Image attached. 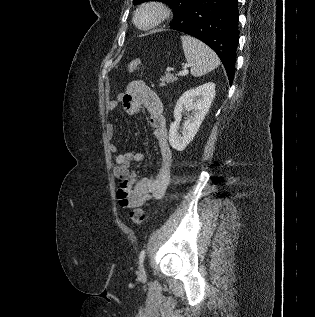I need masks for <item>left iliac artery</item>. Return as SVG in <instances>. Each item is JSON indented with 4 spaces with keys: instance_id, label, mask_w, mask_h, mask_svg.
<instances>
[{
    "instance_id": "44dca946",
    "label": "left iliac artery",
    "mask_w": 315,
    "mask_h": 317,
    "mask_svg": "<svg viewBox=\"0 0 315 317\" xmlns=\"http://www.w3.org/2000/svg\"><path fill=\"white\" fill-rule=\"evenodd\" d=\"M144 258H145V249H143V250L140 252V254H139V261H140V263L143 262Z\"/></svg>"
}]
</instances>
